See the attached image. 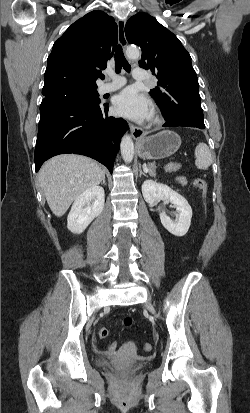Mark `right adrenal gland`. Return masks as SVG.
I'll list each match as a JSON object with an SVG mask.
<instances>
[{"mask_svg":"<svg viewBox=\"0 0 250 413\" xmlns=\"http://www.w3.org/2000/svg\"><path fill=\"white\" fill-rule=\"evenodd\" d=\"M102 185H104V186H106V180H105V177L103 178V180H102V183H101Z\"/></svg>","mask_w":250,"mask_h":413,"instance_id":"right-adrenal-gland-1","label":"right adrenal gland"}]
</instances>
